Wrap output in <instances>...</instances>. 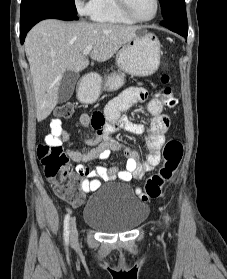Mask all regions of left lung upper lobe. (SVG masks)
<instances>
[{"mask_svg":"<svg viewBox=\"0 0 227 279\" xmlns=\"http://www.w3.org/2000/svg\"><path fill=\"white\" fill-rule=\"evenodd\" d=\"M163 18L186 16L184 0H159Z\"/></svg>","mask_w":227,"mask_h":279,"instance_id":"left-lung-upper-lobe-1","label":"left lung upper lobe"}]
</instances>
